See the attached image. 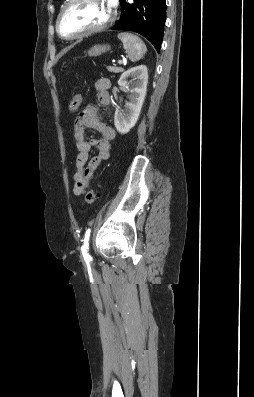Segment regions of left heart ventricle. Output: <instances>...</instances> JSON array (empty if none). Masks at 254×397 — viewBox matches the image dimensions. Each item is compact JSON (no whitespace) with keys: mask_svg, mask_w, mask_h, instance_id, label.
<instances>
[{"mask_svg":"<svg viewBox=\"0 0 254 397\" xmlns=\"http://www.w3.org/2000/svg\"><path fill=\"white\" fill-rule=\"evenodd\" d=\"M109 5L103 0H76L64 12L60 28L74 35L102 24L109 16Z\"/></svg>","mask_w":254,"mask_h":397,"instance_id":"1","label":"left heart ventricle"}]
</instances>
